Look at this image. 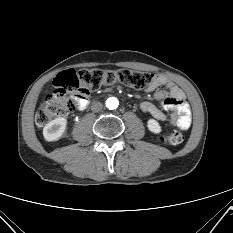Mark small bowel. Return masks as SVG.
<instances>
[{
    "mask_svg": "<svg viewBox=\"0 0 233 233\" xmlns=\"http://www.w3.org/2000/svg\"><path fill=\"white\" fill-rule=\"evenodd\" d=\"M160 88L161 90H159ZM146 91L153 92V97L160 101L162 109H159L150 101H144L140 105L143 112L157 120L168 121L171 126L181 130H187L191 126L192 113L186 101L185 93L167 77L160 74L154 75ZM87 106L88 100L86 99L79 103L78 109L84 110ZM163 110L172 111V113L168 116Z\"/></svg>",
    "mask_w": 233,
    "mask_h": 233,
    "instance_id": "small-bowel-1",
    "label": "small bowel"
}]
</instances>
